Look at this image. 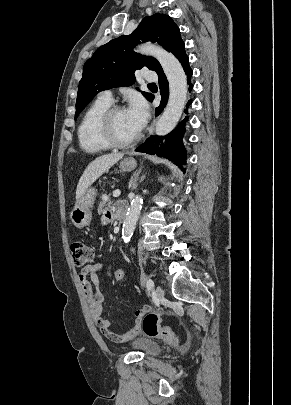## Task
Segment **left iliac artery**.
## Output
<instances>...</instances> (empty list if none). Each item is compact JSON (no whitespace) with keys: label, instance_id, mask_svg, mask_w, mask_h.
Returning a JSON list of instances; mask_svg holds the SVG:
<instances>
[{"label":"left iliac artery","instance_id":"left-iliac-artery-1","mask_svg":"<svg viewBox=\"0 0 291 405\" xmlns=\"http://www.w3.org/2000/svg\"><path fill=\"white\" fill-rule=\"evenodd\" d=\"M146 287L148 291H151L154 288V282L151 279H148L146 282Z\"/></svg>","mask_w":291,"mask_h":405}]
</instances>
